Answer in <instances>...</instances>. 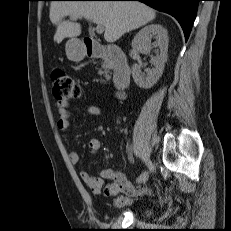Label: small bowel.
<instances>
[{"label": "small bowel", "instance_id": "1", "mask_svg": "<svg viewBox=\"0 0 231 231\" xmlns=\"http://www.w3.org/2000/svg\"><path fill=\"white\" fill-rule=\"evenodd\" d=\"M86 113L97 116L101 110L97 106H89ZM57 128L62 133H68L70 130V110L65 102L58 103ZM102 147L98 138H93L88 143V151L91 155H96ZM81 156L76 151L69 153V161L73 165L80 163ZM81 179L94 194H104L115 199L117 206L129 204L132 199L143 193L150 192L149 188L132 184L120 170L111 168L101 169L97 176L90 175L87 171L79 172Z\"/></svg>", "mask_w": 231, "mask_h": 231}]
</instances>
